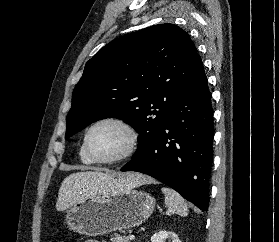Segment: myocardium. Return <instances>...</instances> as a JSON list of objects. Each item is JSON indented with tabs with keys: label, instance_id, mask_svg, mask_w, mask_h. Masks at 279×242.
<instances>
[{
	"label": "myocardium",
	"instance_id": "f54148a6",
	"mask_svg": "<svg viewBox=\"0 0 279 242\" xmlns=\"http://www.w3.org/2000/svg\"><path fill=\"white\" fill-rule=\"evenodd\" d=\"M102 124H114L119 127H121L127 134L128 141H127V146L124 149V151L119 154L118 156L108 158V159H99L95 157L89 148V138L92 133V131L97 128L98 126ZM139 144V134L137 129L127 120L120 118V117H114V116H108V117H103L100 118L96 121H94L86 130L84 139H83V149L87 157L96 164H103V165H112V164H117L121 163L130 157L134 155L138 148Z\"/></svg>",
	"mask_w": 279,
	"mask_h": 242
}]
</instances>
